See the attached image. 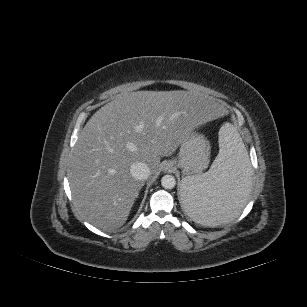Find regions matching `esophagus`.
I'll list each match as a JSON object with an SVG mask.
<instances>
[{"mask_svg":"<svg viewBox=\"0 0 307 307\" xmlns=\"http://www.w3.org/2000/svg\"><path fill=\"white\" fill-rule=\"evenodd\" d=\"M164 171H165V172H168V173L172 172V171H173L172 165L169 164V163L166 164L165 167H164Z\"/></svg>","mask_w":307,"mask_h":307,"instance_id":"34e87169","label":"esophagus"}]
</instances>
